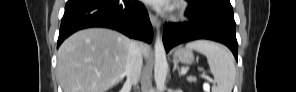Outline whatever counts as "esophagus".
<instances>
[{
	"label": "esophagus",
	"mask_w": 296,
	"mask_h": 92,
	"mask_svg": "<svg viewBox=\"0 0 296 92\" xmlns=\"http://www.w3.org/2000/svg\"><path fill=\"white\" fill-rule=\"evenodd\" d=\"M150 17V21L151 24L153 25V27H155L157 30H159L161 22L159 21V19L152 13L149 14Z\"/></svg>",
	"instance_id": "34e87169"
}]
</instances>
